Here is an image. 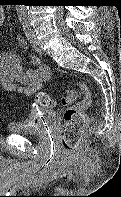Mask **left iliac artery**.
Listing matches in <instances>:
<instances>
[{"instance_id": "left-iliac-artery-1", "label": "left iliac artery", "mask_w": 121, "mask_h": 197, "mask_svg": "<svg viewBox=\"0 0 121 197\" xmlns=\"http://www.w3.org/2000/svg\"><path fill=\"white\" fill-rule=\"evenodd\" d=\"M22 25H23V30H24V33L26 35V38L32 43V30L30 28V25L28 24V22L24 21L22 22Z\"/></svg>"}]
</instances>
